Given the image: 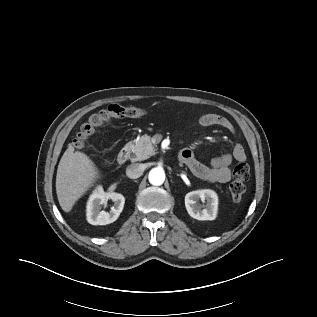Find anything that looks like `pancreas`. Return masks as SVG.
Instances as JSON below:
<instances>
[{"instance_id": "1", "label": "pancreas", "mask_w": 317, "mask_h": 317, "mask_svg": "<svg viewBox=\"0 0 317 317\" xmlns=\"http://www.w3.org/2000/svg\"><path fill=\"white\" fill-rule=\"evenodd\" d=\"M130 148L133 152L131 160L141 161L149 158L155 154L153 143L151 137L147 134L141 136L139 139L135 140L134 144L130 145Z\"/></svg>"}]
</instances>
